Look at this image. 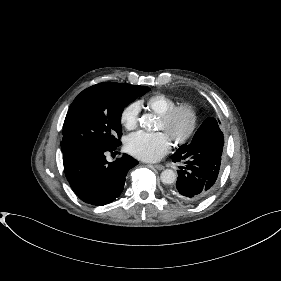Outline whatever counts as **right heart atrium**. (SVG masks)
I'll return each instance as SVG.
<instances>
[{
  "label": "right heart atrium",
  "mask_w": 281,
  "mask_h": 281,
  "mask_svg": "<svg viewBox=\"0 0 281 281\" xmlns=\"http://www.w3.org/2000/svg\"><path fill=\"white\" fill-rule=\"evenodd\" d=\"M140 105L138 102H131L126 105L120 113L121 124L129 129H135L139 122Z\"/></svg>",
  "instance_id": "obj_1"
}]
</instances>
